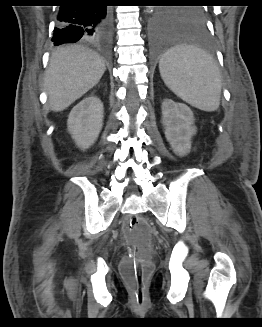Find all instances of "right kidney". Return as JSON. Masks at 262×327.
I'll use <instances>...</instances> for the list:
<instances>
[{
  "mask_svg": "<svg viewBox=\"0 0 262 327\" xmlns=\"http://www.w3.org/2000/svg\"><path fill=\"white\" fill-rule=\"evenodd\" d=\"M103 122V104L97 97L83 99L71 110L67 127L75 143L87 149L96 141Z\"/></svg>",
  "mask_w": 262,
  "mask_h": 327,
  "instance_id": "ca27d5eb",
  "label": "right kidney"
}]
</instances>
